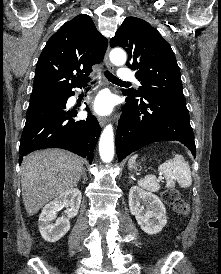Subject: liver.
<instances>
[{"label":"liver","instance_id":"obj_1","mask_svg":"<svg viewBox=\"0 0 221 274\" xmlns=\"http://www.w3.org/2000/svg\"><path fill=\"white\" fill-rule=\"evenodd\" d=\"M83 170V160L65 150H40L24 157L21 187L27 214L34 215L46 203L73 189Z\"/></svg>","mask_w":221,"mask_h":274}]
</instances>
